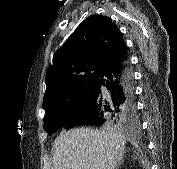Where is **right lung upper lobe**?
I'll return each mask as SVG.
<instances>
[{"mask_svg": "<svg viewBox=\"0 0 177 169\" xmlns=\"http://www.w3.org/2000/svg\"><path fill=\"white\" fill-rule=\"evenodd\" d=\"M125 56L127 47L112 20L101 15L89 16L54 54L53 65L45 76L43 108L95 81L105 68Z\"/></svg>", "mask_w": 177, "mask_h": 169, "instance_id": "obj_1", "label": "right lung upper lobe"}]
</instances>
